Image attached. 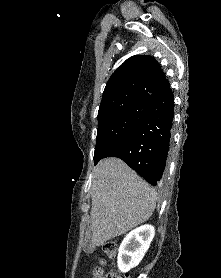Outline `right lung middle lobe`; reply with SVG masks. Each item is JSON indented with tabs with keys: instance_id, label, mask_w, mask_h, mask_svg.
Instances as JSON below:
<instances>
[{
	"instance_id": "1",
	"label": "right lung middle lobe",
	"mask_w": 221,
	"mask_h": 278,
	"mask_svg": "<svg viewBox=\"0 0 221 278\" xmlns=\"http://www.w3.org/2000/svg\"><path fill=\"white\" fill-rule=\"evenodd\" d=\"M151 112L146 102H132L98 115L95 164L106 151L128 135Z\"/></svg>"
}]
</instances>
